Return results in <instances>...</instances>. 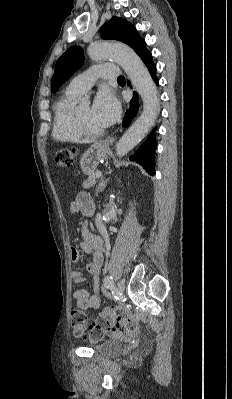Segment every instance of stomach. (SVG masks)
<instances>
[{"instance_id":"0dacf381","label":"stomach","mask_w":232,"mask_h":399,"mask_svg":"<svg viewBox=\"0 0 232 399\" xmlns=\"http://www.w3.org/2000/svg\"><path fill=\"white\" fill-rule=\"evenodd\" d=\"M108 150L106 144L100 140V142H95L91 148H88L84 152L82 158H80V166L84 174H93L95 172L99 162L107 158Z\"/></svg>"}]
</instances>
